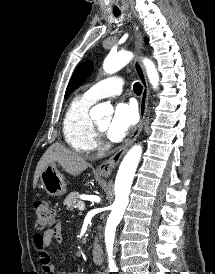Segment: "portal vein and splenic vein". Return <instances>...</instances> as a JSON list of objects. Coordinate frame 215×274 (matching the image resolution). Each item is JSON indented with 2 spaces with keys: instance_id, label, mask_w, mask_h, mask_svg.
<instances>
[{
  "instance_id": "18ae733b",
  "label": "portal vein and splenic vein",
  "mask_w": 215,
  "mask_h": 274,
  "mask_svg": "<svg viewBox=\"0 0 215 274\" xmlns=\"http://www.w3.org/2000/svg\"><path fill=\"white\" fill-rule=\"evenodd\" d=\"M77 207L80 211H84L85 210V204L84 202L80 201L77 203Z\"/></svg>"
}]
</instances>
